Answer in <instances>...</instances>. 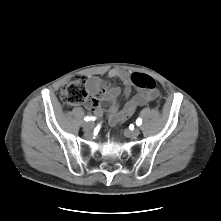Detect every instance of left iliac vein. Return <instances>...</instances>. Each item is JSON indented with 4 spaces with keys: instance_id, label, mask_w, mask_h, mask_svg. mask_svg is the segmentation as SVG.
<instances>
[{
    "instance_id": "left-iliac-vein-1",
    "label": "left iliac vein",
    "mask_w": 221,
    "mask_h": 221,
    "mask_svg": "<svg viewBox=\"0 0 221 221\" xmlns=\"http://www.w3.org/2000/svg\"><path fill=\"white\" fill-rule=\"evenodd\" d=\"M125 134L128 137L136 138L140 134V130H139V128H135L133 130H126Z\"/></svg>"
}]
</instances>
